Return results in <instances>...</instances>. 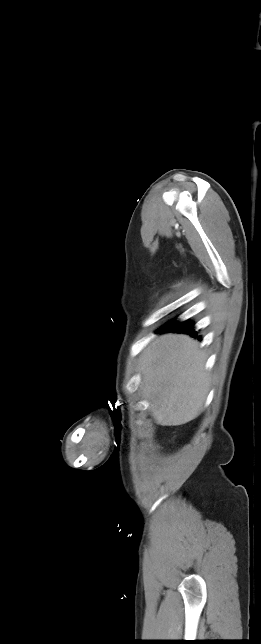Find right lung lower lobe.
<instances>
[{
    "label": "right lung lower lobe",
    "mask_w": 261,
    "mask_h": 644,
    "mask_svg": "<svg viewBox=\"0 0 261 644\" xmlns=\"http://www.w3.org/2000/svg\"><path fill=\"white\" fill-rule=\"evenodd\" d=\"M158 332H179V333H186L191 336H194L197 334V332L194 331V324L191 321H184L181 323H173V321H169L168 323L163 325L158 330Z\"/></svg>",
    "instance_id": "obj_1"
}]
</instances>
